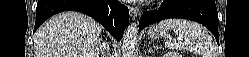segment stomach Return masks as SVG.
Here are the masks:
<instances>
[{
	"mask_svg": "<svg viewBox=\"0 0 249 57\" xmlns=\"http://www.w3.org/2000/svg\"><path fill=\"white\" fill-rule=\"evenodd\" d=\"M148 35L152 38H166L168 37V29L159 26H151L148 31Z\"/></svg>",
	"mask_w": 249,
	"mask_h": 57,
	"instance_id": "0dacf381",
	"label": "stomach"
}]
</instances>
